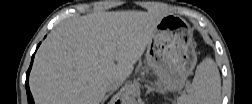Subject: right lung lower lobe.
Listing matches in <instances>:
<instances>
[{
  "label": "right lung lower lobe",
  "mask_w": 252,
  "mask_h": 104,
  "mask_svg": "<svg viewBox=\"0 0 252 104\" xmlns=\"http://www.w3.org/2000/svg\"><path fill=\"white\" fill-rule=\"evenodd\" d=\"M33 59H34V55L32 56L31 64H30V67H29L28 72L26 74V83H25V85H26V91H27V98H28V103L29 104H34L33 97L31 95V92H30V89H29V84H28L29 73H30V70H31V67H32Z\"/></svg>",
  "instance_id": "right-lung-lower-lobe-1"
}]
</instances>
